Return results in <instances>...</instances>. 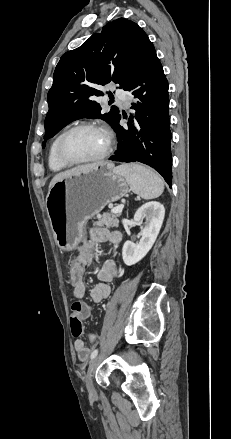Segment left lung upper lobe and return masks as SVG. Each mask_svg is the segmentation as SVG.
Segmentation results:
<instances>
[{
    "label": "left lung upper lobe",
    "instance_id": "left-lung-upper-lobe-1",
    "mask_svg": "<svg viewBox=\"0 0 231 439\" xmlns=\"http://www.w3.org/2000/svg\"><path fill=\"white\" fill-rule=\"evenodd\" d=\"M153 44L133 21L119 18L109 22L80 47L62 55L48 92L49 111L45 118V141L80 118H100L114 129L117 109L102 114L93 100L101 96L99 85L114 82L124 89Z\"/></svg>",
    "mask_w": 231,
    "mask_h": 439
}]
</instances>
